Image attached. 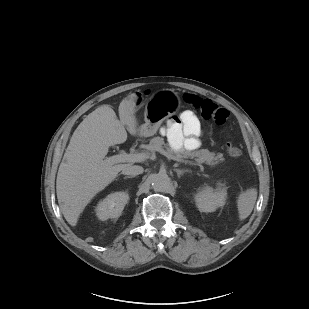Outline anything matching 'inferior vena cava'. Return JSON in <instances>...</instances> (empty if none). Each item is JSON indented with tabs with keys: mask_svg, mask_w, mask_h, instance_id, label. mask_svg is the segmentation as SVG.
Returning <instances> with one entry per match:
<instances>
[{
	"mask_svg": "<svg viewBox=\"0 0 309 309\" xmlns=\"http://www.w3.org/2000/svg\"><path fill=\"white\" fill-rule=\"evenodd\" d=\"M144 171L143 167L141 166H137V165H129L126 166L123 170H122V174L124 175H132V176H136L139 174H142Z\"/></svg>",
	"mask_w": 309,
	"mask_h": 309,
	"instance_id": "inferior-vena-cava-1",
	"label": "inferior vena cava"
}]
</instances>
